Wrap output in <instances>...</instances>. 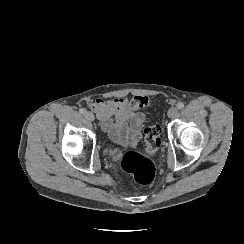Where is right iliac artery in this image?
<instances>
[{
  "instance_id": "obj_1",
  "label": "right iliac artery",
  "mask_w": 244,
  "mask_h": 244,
  "mask_svg": "<svg viewBox=\"0 0 244 244\" xmlns=\"http://www.w3.org/2000/svg\"><path fill=\"white\" fill-rule=\"evenodd\" d=\"M85 112H86V110L84 108L79 109V113L84 114Z\"/></svg>"
}]
</instances>
